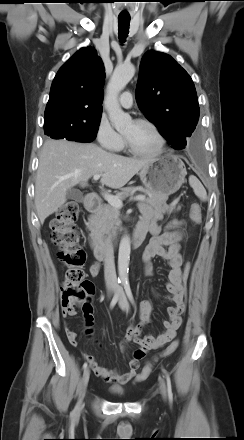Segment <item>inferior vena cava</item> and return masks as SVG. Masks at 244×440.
I'll return each mask as SVG.
<instances>
[{"label": "inferior vena cava", "instance_id": "602c4592", "mask_svg": "<svg viewBox=\"0 0 244 440\" xmlns=\"http://www.w3.org/2000/svg\"><path fill=\"white\" fill-rule=\"evenodd\" d=\"M104 276L107 289H116L117 277L114 263V252L111 242L109 240L106 241L104 247Z\"/></svg>", "mask_w": 244, "mask_h": 440}]
</instances>
